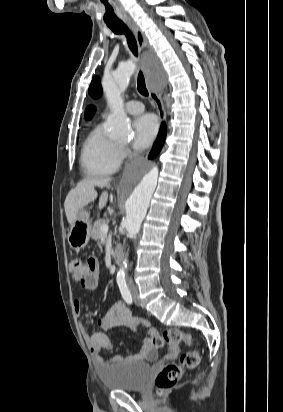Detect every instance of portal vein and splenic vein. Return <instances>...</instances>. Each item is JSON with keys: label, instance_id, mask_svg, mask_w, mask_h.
I'll return each instance as SVG.
<instances>
[{"label": "portal vein and splenic vein", "instance_id": "obj_1", "mask_svg": "<svg viewBox=\"0 0 283 412\" xmlns=\"http://www.w3.org/2000/svg\"><path fill=\"white\" fill-rule=\"evenodd\" d=\"M108 229H109V227H108V224H106V223L101 226V232L102 233H107Z\"/></svg>", "mask_w": 283, "mask_h": 412}]
</instances>
